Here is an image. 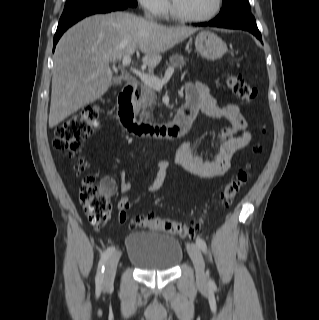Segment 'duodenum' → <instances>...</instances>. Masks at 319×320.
Here are the masks:
<instances>
[{"label":"duodenum","instance_id":"410a0bca","mask_svg":"<svg viewBox=\"0 0 319 320\" xmlns=\"http://www.w3.org/2000/svg\"><path fill=\"white\" fill-rule=\"evenodd\" d=\"M136 97V84L127 83L118 96V118L120 123L136 136H150L161 139H173L184 134L191 126L196 110L182 106L173 121L164 124L138 122L134 117L133 102Z\"/></svg>","mask_w":319,"mask_h":320}]
</instances>
